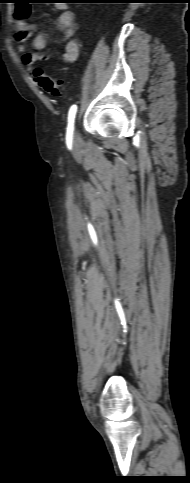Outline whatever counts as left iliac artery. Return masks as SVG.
<instances>
[{
	"label": "left iliac artery",
	"instance_id": "left-iliac-artery-1",
	"mask_svg": "<svg viewBox=\"0 0 190 483\" xmlns=\"http://www.w3.org/2000/svg\"><path fill=\"white\" fill-rule=\"evenodd\" d=\"M76 111L77 106L72 105L68 113L67 137H71L73 134Z\"/></svg>",
	"mask_w": 190,
	"mask_h": 483
}]
</instances>
